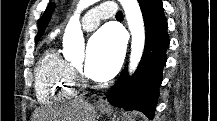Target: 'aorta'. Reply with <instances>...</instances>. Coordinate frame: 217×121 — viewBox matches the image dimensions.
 Here are the masks:
<instances>
[{
	"label": "aorta",
	"mask_w": 217,
	"mask_h": 121,
	"mask_svg": "<svg viewBox=\"0 0 217 121\" xmlns=\"http://www.w3.org/2000/svg\"><path fill=\"white\" fill-rule=\"evenodd\" d=\"M97 0H79L74 15L70 18L63 35V54L66 59L84 58V37L79 21L80 13ZM132 36L129 72L136 70L145 46V28L141 9L137 0H119Z\"/></svg>",
	"instance_id": "aorta-1"
}]
</instances>
